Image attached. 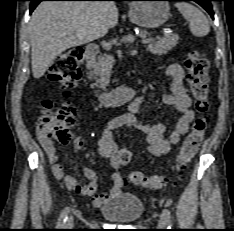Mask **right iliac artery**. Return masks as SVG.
I'll use <instances>...</instances> for the list:
<instances>
[{
	"label": "right iliac artery",
	"mask_w": 234,
	"mask_h": 231,
	"mask_svg": "<svg viewBox=\"0 0 234 231\" xmlns=\"http://www.w3.org/2000/svg\"><path fill=\"white\" fill-rule=\"evenodd\" d=\"M68 212H69L68 208H65L61 212L60 217H59L58 222H57V228L58 229H62L64 227L65 222L67 220Z\"/></svg>",
	"instance_id": "right-iliac-artery-1"
}]
</instances>
